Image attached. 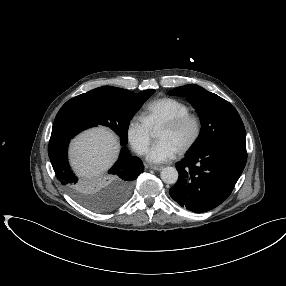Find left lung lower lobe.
Here are the masks:
<instances>
[{
    "label": "left lung lower lobe",
    "mask_w": 286,
    "mask_h": 286,
    "mask_svg": "<svg viewBox=\"0 0 286 286\" xmlns=\"http://www.w3.org/2000/svg\"><path fill=\"white\" fill-rule=\"evenodd\" d=\"M246 161V145L235 143H218L191 152L176 164L179 178L169 190L170 196L195 213L209 211L229 197Z\"/></svg>",
    "instance_id": "obj_1"
}]
</instances>
